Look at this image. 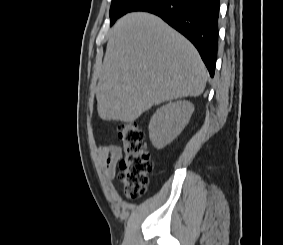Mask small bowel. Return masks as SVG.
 <instances>
[{
  "label": "small bowel",
  "mask_w": 283,
  "mask_h": 245,
  "mask_svg": "<svg viewBox=\"0 0 283 245\" xmlns=\"http://www.w3.org/2000/svg\"><path fill=\"white\" fill-rule=\"evenodd\" d=\"M98 155L106 177L113 178L116 174L118 161L122 156V149L114 144L101 145L98 148Z\"/></svg>",
  "instance_id": "c3829d8e"
}]
</instances>
